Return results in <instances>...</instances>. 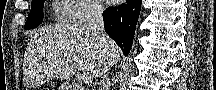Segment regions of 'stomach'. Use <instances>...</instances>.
Returning a JSON list of instances; mask_svg holds the SVG:
<instances>
[{
  "label": "stomach",
  "instance_id": "obj_1",
  "mask_svg": "<svg viewBox=\"0 0 216 90\" xmlns=\"http://www.w3.org/2000/svg\"><path fill=\"white\" fill-rule=\"evenodd\" d=\"M60 90H69V85L68 84H62L60 87Z\"/></svg>",
  "mask_w": 216,
  "mask_h": 90
}]
</instances>
